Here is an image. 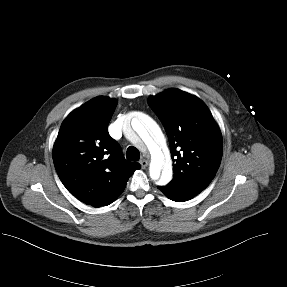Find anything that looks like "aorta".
Wrapping results in <instances>:
<instances>
[{
  "label": "aorta",
  "instance_id": "762f6f07",
  "mask_svg": "<svg viewBox=\"0 0 287 287\" xmlns=\"http://www.w3.org/2000/svg\"><path fill=\"white\" fill-rule=\"evenodd\" d=\"M142 120L146 129L152 135V138L138 119H132L133 129L140 135L146 144L151 155L149 167L150 177L153 180H159L161 185H166L172 180V163L170 155L166 149L165 138L157 123L147 115H142Z\"/></svg>",
  "mask_w": 287,
  "mask_h": 287
}]
</instances>
